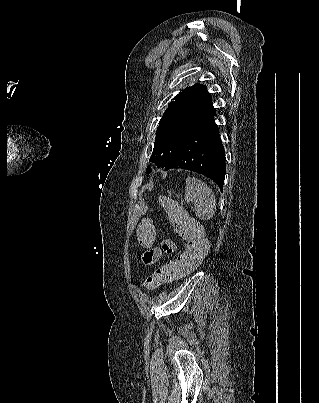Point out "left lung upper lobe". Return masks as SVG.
Wrapping results in <instances>:
<instances>
[{
  "label": "left lung upper lobe",
  "mask_w": 319,
  "mask_h": 403,
  "mask_svg": "<svg viewBox=\"0 0 319 403\" xmlns=\"http://www.w3.org/2000/svg\"><path fill=\"white\" fill-rule=\"evenodd\" d=\"M211 105V94L199 83L177 94L160 120L149 161L155 163L158 168H165L186 140L190 129ZM150 172L151 167L148 166L146 173Z\"/></svg>",
  "instance_id": "1"
}]
</instances>
